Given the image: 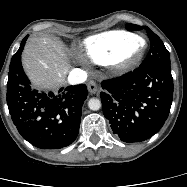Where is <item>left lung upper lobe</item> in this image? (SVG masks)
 <instances>
[{
    "instance_id": "obj_1",
    "label": "left lung upper lobe",
    "mask_w": 187,
    "mask_h": 187,
    "mask_svg": "<svg viewBox=\"0 0 187 187\" xmlns=\"http://www.w3.org/2000/svg\"><path fill=\"white\" fill-rule=\"evenodd\" d=\"M126 28L128 30H141L145 28L151 41L150 52L140 66L170 65L168 50L165 48L162 40L148 27L129 23L126 25Z\"/></svg>"
}]
</instances>
